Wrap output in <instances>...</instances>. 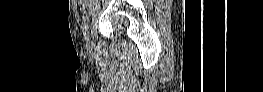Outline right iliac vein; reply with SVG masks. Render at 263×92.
<instances>
[{
  "mask_svg": "<svg viewBox=\"0 0 263 92\" xmlns=\"http://www.w3.org/2000/svg\"><path fill=\"white\" fill-rule=\"evenodd\" d=\"M86 42V47L87 48H90L91 46H92V41H91V39L88 37L86 40H85Z\"/></svg>",
  "mask_w": 263,
  "mask_h": 92,
  "instance_id": "1",
  "label": "right iliac vein"
}]
</instances>
